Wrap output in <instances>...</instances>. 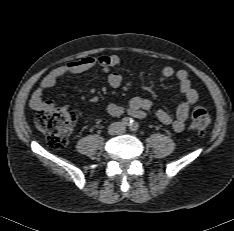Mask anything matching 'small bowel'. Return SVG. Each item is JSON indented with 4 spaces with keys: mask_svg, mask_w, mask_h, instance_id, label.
<instances>
[{
    "mask_svg": "<svg viewBox=\"0 0 234 231\" xmlns=\"http://www.w3.org/2000/svg\"><path fill=\"white\" fill-rule=\"evenodd\" d=\"M120 63L117 55L107 54L95 57H84L79 60L70 61L51 70L41 80L39 86L34 90L30 104L35 110H52L56 107L53 100L45 99V92L53 88L58 79L83 73L95 67H100L107 75V81L113 88H117L122 84V75L115 71V67ZM176 78L178 82L179 92L183 96V100L176 108L175 118L167 111L155 108L152 101L144 97H134L125 106L110 103L106 107L108 114L112 116H120L128 114L136 119H143L148 112L153 111L156 118L164 125H171L176 133H181L185 129L186 121L193 105L198 101V92L192 87L189 75L186 71L180 70L175 72L173 67L164 66L160 72V80L168 82L172 78Z\"/></svg>",
    "mask_w": 234,
    "mask_h": 231,
    "instance_id": "small-bowel-1",
    "label": "small bowel"
}]
</instances>
